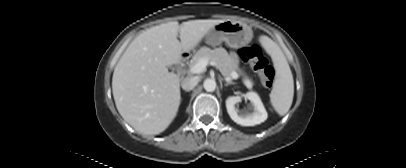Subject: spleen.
<instances>
[{
  "mask_svg": "<svg viewBox=\"0 0 406 168\" xmlns=\"http://www.w3.org/2000/svg\"><path fill=\"white\" fill-rule=\"evenodd\" d=\"M263 46L271 56L275 67V80L270 93V102L275 111L285 115L293 101L294 80L289 64L281 48L269 38H265Z\"/></svg>",
  "mask_w": 406,
  "mask_h": 168,
  "instance_id": "1",
  "label": "spleen"
}]
</instances>
